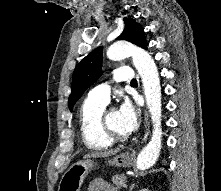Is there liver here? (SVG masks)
<instances>
[{"label":"liver","instance_id":"6515ba94","mask_svg":"<svg viewBox=\"0 0 221 191\" xmlns=\"http://www.w3.org/2000/svg\"><path fill=\"white\" fill-rule=\"evenodd\" d=\"M118 152H119V149L109 150V151H105V152H93V153L86 154V155L84 156V159H87V158L108 157V156L115 155V154L118 153Z\"/></svg>","mask_w":221,"mask_h":191}]
</instances>
